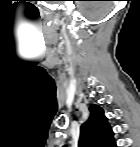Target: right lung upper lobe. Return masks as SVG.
I'll return each mask as SVG.
<instances>
[{
    "label": "right lung upper lobe",
    "instance_id": "obj_1",
    "mask_svg": "<svg viewBox=\"0 0 140 147\" xmlns=\"http://www.w3.org/2000/svg\"><path fill=\"white\" fill-rule=\"evenodd\" d=\"M88 120L82 124L79 147H116L113 131L99 105L89 107Z\"/></svg>",
    "mask_w": 140,
    "mask_h": 147
}]
</instances>
